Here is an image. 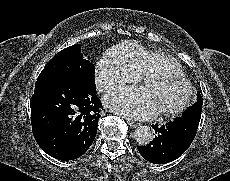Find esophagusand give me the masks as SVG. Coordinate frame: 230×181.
<instances>
[{
	"label": "esophagus",
	"instance_id": "esophagus-1",
	"mask_svg": "<svg viewBox=\"0 0 230 181\" xmlns=\"http://www.w3.org/2000/svg\"><path fill=\"white\" fill-rule=\"evenodd\" d=\"M126 121L131 127H137L139 125V123L134 122V121H132V120H130L128 118H126Z\"/></svg>",
	"mask_w": 230,
	"mask_h": 181
}]
</instances>
